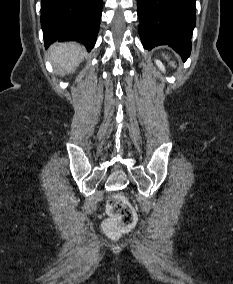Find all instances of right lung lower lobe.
Returning <instances> with one entry per match:
<instances>
[{
	"mask_svg": "<svg viewBox=\"0 0 233 284\" xmlns=\"http://www.w3.org/2000/svg\"><path fill=\"white\" fill-rule=\"evenodd\" d=\"M102 14V0H41L45 47L72 40L93 49Z\"/></svg>",
	"mask_w": 233,
	"mask_h": 284,
	"instance_id": "98d812e1",
	"label": "right lung lower lobe"
}]
</instances>
